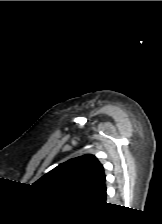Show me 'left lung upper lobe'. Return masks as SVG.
<instances>
[{
  "mask_svg": "<svg viewBox=\"0 0 162 224\" xmlns=\"http://www.w3.org/2000/svg\"><path fill=\"white\" fill-rule=\"evenodd\" d=\"M104 183L103 166L94 155L87 154L58 165L34 185L60 196L89 199Z\"/></svg>",
  "mask_w": 162,
  "mask_h": 224,
  "instance_id": "left-lung-upper-lobe-1",
  "label": "left lung upper lobe"
}]
</instances>
